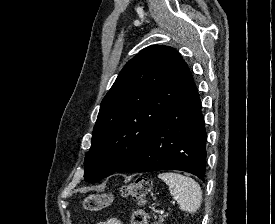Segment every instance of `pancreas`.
Returning <instances> with one entry per match:
<instances>
[{"instance_id": "pancreas-1", "label": "pancreas", "mask_w": 275, "mask_h": 224, "mask_svg": "<svg viewBox=\"0 0 275 224\" xmlns=\"http://www.w3.org/2000/svg\"><path fill=\"white\" fill-rule=\"evenodd\" d=\"M161 222H163V217H162V216H160V217H159V221H158V222H155L154 224H161Z\"/></svg>"}]
</instances>
